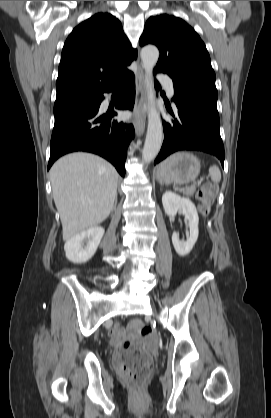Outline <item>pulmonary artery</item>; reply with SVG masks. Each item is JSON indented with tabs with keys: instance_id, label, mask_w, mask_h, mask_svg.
I'll return each instance as SVG.
<instances>
[{
	"instance_id": "obj_1",
	"label": "pulmonary artery",
	"mask_w": 271,
	"mask_h": 418,
	"mask_svg": "<svg viewBox=\"0 0 271 418\" xmlns=\"http://www.w3.org/2000/svg\"><path fill=\"white\" fill-rule=\"evenodd\" d=\"M160 82L165 86L166 92L170 98H173L174 96V87L173 82L171 78L168 76H160L159 77Z\"/></svg>"
}]
</instances>
